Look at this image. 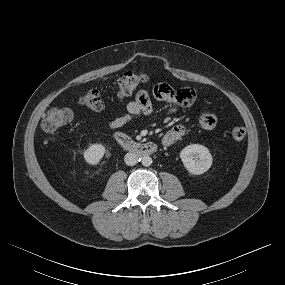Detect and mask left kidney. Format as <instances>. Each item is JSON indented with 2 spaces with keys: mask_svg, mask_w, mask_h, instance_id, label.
<instances>
[{
  "mask_svg": "<svg viewBox=\"0 0 285 285\" xmlns=\"http://www.w3.org/2000/svg\"><path fill=\"white\" fill-rule=\"evenodd\" d=\"M180 158L187 171L193 175L205 173L212 165V155L207 147L191 144L182 149Z\"/></svg>",
  "mask_w": 285,
  "mask_h": 285,
  "instance_id": "obj_1",
  "label": "left kidney"
}]
</instances>
